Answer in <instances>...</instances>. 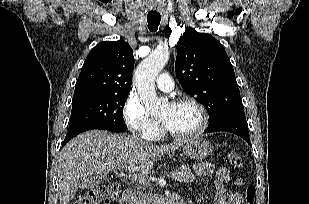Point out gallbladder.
<instances>
[{"label":"gallbladder","mask_w":309,"mask_h":204,"mask_svg":"<svg viewBox=\"0 0 309 204\" xmlns=\"http://www.w3.org/2000/svg\"><path fill=\"white\" fill-rule=\"evenodd\" d=\"M103 179L104 176L101 175L87 176L79 182L78 188L82 190L91 189L102 182Z\"/></svg>","instance_id":"1"}]
</instances>
